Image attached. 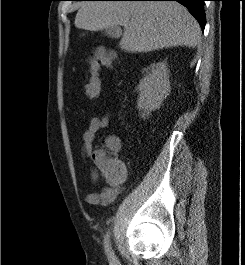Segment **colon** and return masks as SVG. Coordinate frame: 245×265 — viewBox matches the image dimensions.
<instances>
[{
  "label": "colon",
  "mask_w": 245,
  "mask_h": 265,
  "mask_svg": "<svg viewBox=\"0 0 245 265\" xmlns=\"http://www.w3.org/2000/svg\"><path fill=\"white\" fill-rule=\"evenodd\" d=\"M115 55L104 48L95 50L88 58L89 79L84 87V94L89 100H95L99 97L101 84L98 77L100 66L113 67L115 64ZM119 141L112 139L107 147L100 149L95 156V165L98 170L109 179H119L125 174V166L121 160L116 157L119 149Z\"/></svg>",
  "instance_id": "obj_1"
}]
</instances>
